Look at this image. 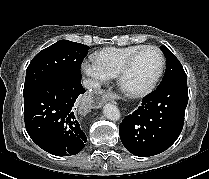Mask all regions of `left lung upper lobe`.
<instances>
[{"label":"left lung upper lobe","instance_id":"1","mask_svg":"<svg viewBox=\"0 0 209 179\" xmlns=\"http://www.w3.org/2000/svg\"><path fill=\"white\" fill-rule=\"evenodd\" d=\"M161 50L166 56L167 69L165 76L158 87L168 85L178 80L187 79V75L175 55L165 46L161 47Z\"/></svg>","mask_w":209,"mask_h":179}]
</instances>
